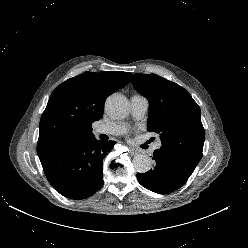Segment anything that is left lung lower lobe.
<instances>
[{
	"label": "left lung lower lobe",
	"mask_w": 248,
	"mask_h": 248,
	"mask_svg": "<svg viewBox=\"0 0 248 248\" xmlns=\"http://www.w3.org/2000/svg\"><path fill=\"white\" fill-rule=\"evenodd\" d=\"M156 165L146 173H138L139 183L158 194H168L182 187L192 174L172 158L155 150Z\"/></svg>",
	"instance_id": "1"
}]
</instances>
